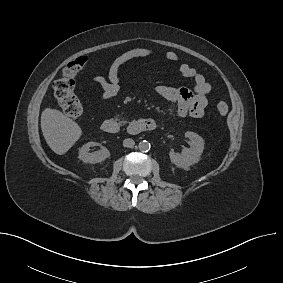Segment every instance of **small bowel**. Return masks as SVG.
<instances>
[{"label": "small bowel", "instance_id": "obj_1", "mask_svg": "<svg viewBox=\"0 0 283 283\" xmlns=\"http://www.w3.org/2000/svg\"><path fill=\"white\" fill-rule=\"evenodd\" d=\"M153 54L154 51L150 48L138 47L117 56L105 76L98 75L93 78V82L101 88V99L103 101L112 99L120 92V69L122 66L132 60L150 57ZM165 59L177 62L179 57L175 52L169 51L165 53ZM179 72L184 78L193 81L192 90L186 87L158 85L155 87V93L167 101L176 103L177 113L180 117L200 118L205 112L208 103L207 96L212 91L211 85L202 74L187 63L180 64Z\"/></svg>", "mask_w": 283, "mask_h": 283}]
</instances>
